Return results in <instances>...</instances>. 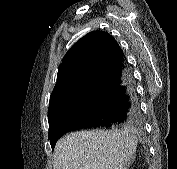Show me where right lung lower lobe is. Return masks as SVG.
Segmentation results:
<instances>
[{"instance_id": "right-lung-lower-lobe-1", "label": "right lung lower lobe", "mask_w": 177, "mask_h": 169, "mask_svg": "<svg viewBox=\"0 0 177 169\" xmlns=\"http://www.w3.org/2000/svg\"><path fill=\"white\" fill-rule=\"evenodd\" d=\"M89 82L91 99L79 113L59 123L50 138L52 148L66 132L81 128H107L139 118L134 79L123 52L98 71Z\"/></svg>"}]
</instances>
